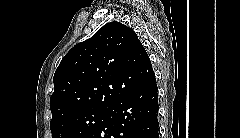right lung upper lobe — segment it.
Segmentation results:
<instances>
[{
    "label": "right lung upper lobe",
    "mask_w": 240,
    "mask_h": 138,
    "mask_svg": "<svg viewBox=\"0 0 240 138\" xmlns=\"http://www.w3.org/2000/svg\"><path fill=\"white\" fill-rule=\"evenodd\" d=\"M155 76L137 34L120 22L104 25L75 45L54 74L52 120L91 108H108Z\"/></svg>",
    "instance_id": "right-lung-upper-lobe-1"
}]
</instances>
